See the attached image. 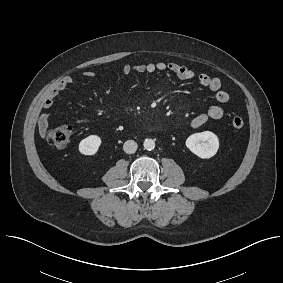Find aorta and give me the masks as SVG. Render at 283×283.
<instances>
[{
	"label": "aorta",
	"mask_w": 283,
	"mask_h": 283,
	"mask_svg": "<svg viewBox=\"0 0 283 283\" xmlns=\"http://www.w3.org/2000/svg\"><path fill=\"white\" fill-rule=\"evenodd\" d=\"M144 149L151 151L155 148V141L153 139H146L143 143Z\"/></svg>",
	"instance_id": "obj_1"
}]
</instances>
